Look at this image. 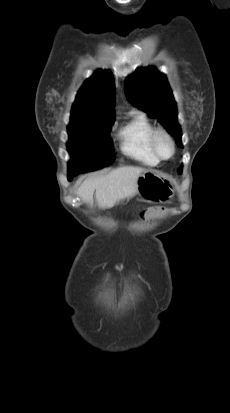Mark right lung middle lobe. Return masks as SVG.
I'll use <instances>...</instances> for the list:
<instances>
[{
  "mask_svg": "<svg viewBox=\"0 0 230 413\" xmlns=\"http://www.w3.org/2000/svg\"><path fill=\"white\" fill-rule=\"evenodd\" d=\"M114 119L68 126L70 137L67 143L71 161L68 164V179L79 173L110 165L115 160L112 140L109 137Z\"/></svg>",
  "mask_w": 230,
  "mask_h": 413,
  "instance_id": "right-lung-middle-lobe-1",
  "label": "right lung middle lobe"
}]
</instances>
